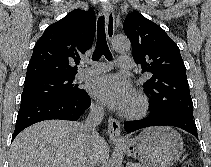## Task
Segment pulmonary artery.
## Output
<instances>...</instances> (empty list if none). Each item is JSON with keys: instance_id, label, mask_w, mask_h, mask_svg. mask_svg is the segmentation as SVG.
Instances as JSON below:
<instances>
[{"instance_id": "pulmonary-artery-1", "label": "pulmonary artery", "mask_w": 211, "mask_h": 167, "mask_svg": "<svg viewBox=\"0 0 211 167\" xmlns=\"http://www.w3.org/2000/svg\"><path fill=\"white\" fill-rule=\"evenodd\" d=\"M116 66L123 70H130L133 66V62L129 56L121 55L117 60ZM111 67H113V64L111 63H96L80 69L76 76L79 79H83L92 75L104 73L111 69Z\"/></svg>"}]
</instances>
